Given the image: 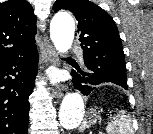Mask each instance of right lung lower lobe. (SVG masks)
Listing matches in <instances>:
<instances>
[{
    "label": "right lung lower lobe",
    "instance_id": "1",
    "mask_svg": "<svg viewBox=\"0 0 153 134\" xmlns=\"http://www.w3.org/2000/svg\"><path fill=\"white\" fill-rule=\"evenodd\" d=\"M37 65L36 47L0 62V134H28V98Z\"/></svg>",
    "mask_w": 153,
    "mask_h": 134
}]
</instances>
